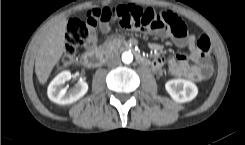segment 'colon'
Masks as SVG:
<instances>
[{
    "label": "colon",
    "instance_id": "5ec220e1",
    "mask_svg": "<svg viewBox=\"0 0 245 145\" xmlns=\"http://www.w3.org/2000/svg\"><path fill=\"white\" fill-rule=\"evenodd\" d=\"M104 16H108V13H104ZM119 25L123 29H141V30H158L160 28L159 17L148 11H143L140 8H132L131 10L118 11ZM172 29L177 35H181L185 27L179 21L172 22ZM86 35V27L79 21H72L67 27V39L66 54L68 57L72 55L78 45L84 43V37ZM197 49L208 55L210 52V41L207 36L202 35L196 40ZM63 61H61V64Z\"/></svg>",
    "mask_w": 245,
    "mask_h": 145
}]
</instances>
